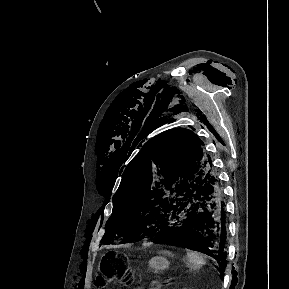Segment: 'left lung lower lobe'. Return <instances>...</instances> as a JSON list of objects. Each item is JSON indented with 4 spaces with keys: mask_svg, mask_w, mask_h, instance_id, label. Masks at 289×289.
I'll return each instance as SVG.
<instances>
[{
    "mask_svg": "<svg viewBox=\"0 0 289 289\" xmlns=\"http://www.w3.org/2000/svg\"><path fill=\"white\" fill-rule=\"evenodd\" d=\"M225 202L219 179L212 167L184 186L171 200L168 216L148 233L156 243L184 240L183 247L217 260L221 276L226 267Z\"/></svg>",
    "mask_w": 289,
    "mask_h": 289,
    "instance_id": "left-lung-lower-lobe-1",
    "label": "left lung lower lobe"
}]
</instances>
